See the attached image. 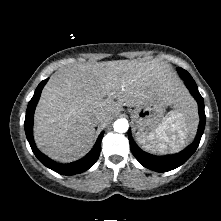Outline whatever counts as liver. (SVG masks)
I'll use <instances>...</instances> for the list:
<instances>
[{
    "instance_id": "obj_1",
    "label": "liver",
    "mask_w": 221,
    "mask_h": 221,
    "mask_svg": "<svg viewBox=\"0 0 221 221\" xmlns=\"http://www.w3.org/2000/svg\"><path fill=\"white\" fill-rule=\"evenodd\" d=\"M155 98L179 111L194 106L166 64L117 60L64 67L50 77L36 107V145L53 160H78L92 148L97 125L107 124L122 106L139 107ZM100 114L106 121L97 124Z\"/></svg>"
}]
</instances>
